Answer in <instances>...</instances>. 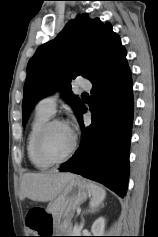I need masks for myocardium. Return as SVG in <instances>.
I'll return each mask as SVG.
<instances>
[{"mask_svg":"<svg viewBox=\"0 0 158 237\" xmlns=\"http://www.w3.org/2000/svg\"><path fill=\"white\" fill-rule=\"evenodd\" d=\"M58 124H63L66 125L65 122L61 119L58 118H53L48 120L40 129V131L37 134V137L35 139V151L37 156L43 160L44 162L54 165V164H60L63 162H66L68 159L72 157L74 154L76 147H77V138L74 134H72V144L71 147L69 148L68 152L60 157V158H54L50 156L46 150H45V139L49 131L52 129L53 126L58 125Z\"/></svg>","mask_w":158,"mask_h":237,"instance_id":"f54148a6","label":"myocardium"}]
</instances>
